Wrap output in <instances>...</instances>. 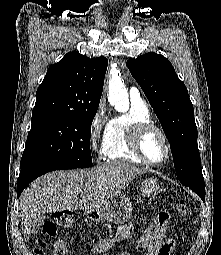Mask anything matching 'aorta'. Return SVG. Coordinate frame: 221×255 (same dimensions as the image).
<instances>
[{
  "label": "aorta",
  "instance_id": "762f6f07",
  "mask_svg": "<svg viewBox=\"0 0 221 255\" xmlns=\"http://www.w3.org/2000/svg\"><path fill=\"white\" fill-rule=\"evenodd\" d=\"M108 101L117 111L125 112L129 108L128 93L119 76H112L109 80Z\"/></svg>",
  "mask_w": 221,
  "mask_h": 255
}]
</instances>
